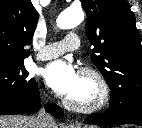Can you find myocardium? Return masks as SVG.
<instances>
[{
	"instance_id": "myocardium-1",
	"label": "myocardium",
	"mask_w": 142,
	"mask_h": 128,
	"mask_svg": "<svg viewBox=\"0 0 142 128\" xmlns=\"http://www.w3.org/2000/svg\"><path fill=\"white\" fill-rule=\"evenodd\" d=\"M81 76L90 80L96 89L95 98L88 103H80L71 97L66 98L65 104L70 109L82 113H94L103 109L110 99V87L105 77L92 67H83Z\"/></svg>"
}]
</instances>
